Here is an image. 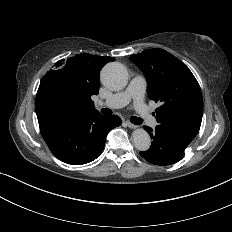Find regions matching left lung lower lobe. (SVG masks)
Segmentation results:
<instances>
[{"label":"left lung lower lobe","mask_w":232,"mask_h":232,"mask_svg":"<svg viewBox=\"0 0 232 232\" xmlns=\"http://www.w3.org/2000/svg\"><path fill=\"white\" fill-rule=\"evenodd\" d=\"M144 129L149 133L151 147L140 155L148 162L155 165H170L180 161L184 157V151L188 144L167 132L148 126Z\"/></svg>","instance_id":"obj_1"}]
</instances>
